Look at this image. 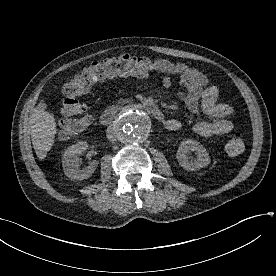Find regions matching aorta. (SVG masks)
Masks as SVG:
<instances>
[{"mask_svg":"<svg viewBox=\"0 0 276 276\" xmlns=\"http://www.w3.org/2000/svg\"><path fill=\"white\" fill-rule=\"evenodd\" d=\"M147 114L138 108H129L124 111L118 120L117 131L122 142L133 144L146 139L149 132Z\"/></svg>","mask_w":276,"mask_h":276,"instance_id":"1","label":"aorta"}]
</instances>
